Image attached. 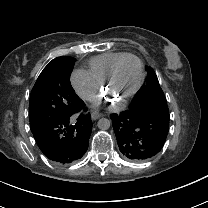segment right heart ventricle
I'll return each instance as SVG.
<instances>
[{
  "label": "right heart ventricle",
  "mask_w": 208,
  "mask_h": 208,
  "mask_svg": "<svg viewBox=\"0 0 208 208\" xmlns=\"http://www.w3.org/2000/svg\"><path fill=\"white\" fill-rule=\"evenodd\" d=\"M126 53L124 52H107L88 61V73L98 84L105 79L112 65Z\"/></svg>",
  "instance_id": "obj_1"
}]
</instances>
